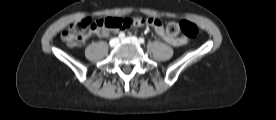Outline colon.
Returning a JSON list of instances; mask_svg holds the SVG:
<instances>
[{"mask_svg": "<svg viewBox=\"0 0 276 120\" xmlns=\"http://www.w3.org/2000/svg\"><path fill=\"white\" fill-rule=\"evenodd\" d=\"M158 19L156 18H121V17H106L99 19L86 18L71 24L62 32V40L69 46H77L79 41H82L85 36L91 32L103 30H116L129 28L132 26L153 25ZM166 32L170 36H175L179 33L186 37L194 39L198 34L197 26L190 21L169 22L166 25Z\"/></svg>", "mask_w": 276, "mask_h": 120, "instance_id": "colon-1", "label": "colon"}]
</instances>
